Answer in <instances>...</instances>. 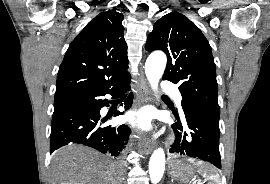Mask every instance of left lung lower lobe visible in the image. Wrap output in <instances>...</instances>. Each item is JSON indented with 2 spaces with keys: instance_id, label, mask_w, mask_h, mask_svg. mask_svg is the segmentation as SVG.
I'll return each mask as SVG.
<instances>
[{
  "instance_id": "left-lung-lower-lobe-1",
  "label": "left lung lower lobe",
  "mask_w": 270,
  "mask_h": 184,
  "mask_svg": "<svg viewBox=\"0 0 270 184\" xmlns=\"http://www.w3.org/2000/svg\"><path fill=\"white\" fill-rule=\"evenodd\" d=\"M183 112L182 118L174 112L176 139L170 152L200 159L221 169L219 118L193 107L183 109Z\"/></svg>"
}]
</instances>
